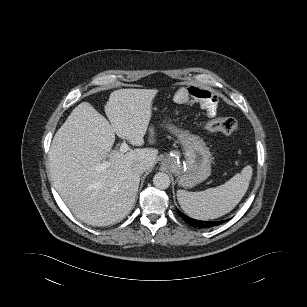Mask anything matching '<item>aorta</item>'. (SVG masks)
<instances>
[{"label": "aorta", "mask_w": 307, "mask_h": 307, "mask_svg": "<svg viewBox=\"0 0 307 307\" xmlns=\"http://www.w3.org/2000/svg\"><path fill=\"white\" fill-rule=\"evenodd\" d=\"M170 183V177L166 173L159 172L153 177V184L158 189H167Z\"/></svg>", "instance_id": "1"}]
</instances>
